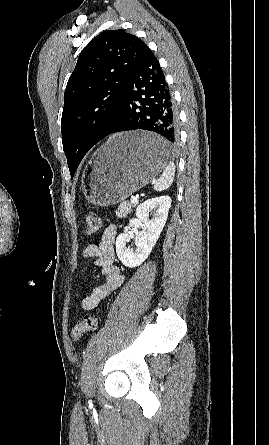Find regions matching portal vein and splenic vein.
Instances as JSON below:
<instances>
[{
	"label": "portal vein and splenic vein",
	"instance_id": "1",
	"mask_svg": "<svg viewBox=\"0 0 269 445\" xmlns=\"http://www.w3.org/2000/svg\"><path fill=\"white\" fill-rule=\"evenodd\" d=\"M131 203H133V204L137 203V197L136 196H132L131 197Z\"/></svg>",
	"mask_w": 269,
	"mask_h": 445
}]
</instances>
